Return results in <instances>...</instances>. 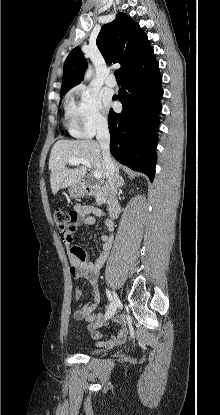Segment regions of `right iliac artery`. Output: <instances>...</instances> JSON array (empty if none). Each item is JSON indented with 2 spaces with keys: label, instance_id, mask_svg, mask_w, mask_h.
<instances>
[{
  "label": "right iliac artery",
  "instance_id": "right-iliac-artery-1",
  "mask_svg": "<svg viewBox=\"0 0 220 415\" xmlns=\"http://www.w3.org/2000/svg\"><path fill=\"white\" fill-rule=\"evenodd\" d=\"M106 294H107V297H108L109 301L112 302L113 298H112V295H111V293L108 289L106 290Z\"/></svg>",
  "mask_w": 220,
  "mask_h": 415
}]
</instances>
